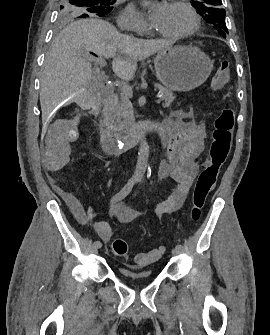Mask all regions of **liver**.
I'll use <instances>...</instances> for the list:
<instances>
[{
  "label": "liver",
  "mask_w": 270,
  "mask_h": 335,
  "mask_svg": "<svg viewBox=\"0 0 270 335\" xmlns=\"http://www.w3.org/2000/svg\"><path fill=\"white\" fill-rule=\"evenodd\" d=\"M83 48L103 58H115L116 52L125 56L114 60L112 70L121 80H130L138 60L171 48V44L166 40H139L124 36L100 18L71 22L57 34L45 58L40 88L42 120H46L67 98H77L81 106L85 94L98 88L99 82L92 74L89 58L83 56Z\"/></svg>",
  "instance_id": "1"
}]
</instances>
